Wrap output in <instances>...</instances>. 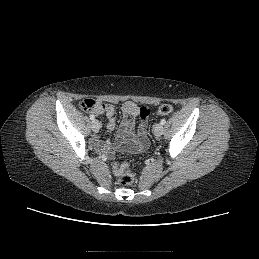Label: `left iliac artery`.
<instances>
[{
    "label": "left iliac artery",
    "mask_w": 259,
    "mask_h": 259,
    "mask_svg": "<svg viewBox=\"0 0 259 259\" xmlns=\"http://www.w3.org/2000/svg\"><path fill=\"white\" fill-rule=\"evenodd\" d=\"M160 123H161L162 125H164V124L166 123V120H165V119H162V120L160 121Z\"/></svg>",
    "instance_id": "left-iliac-artery-1"
}]
</instances>
